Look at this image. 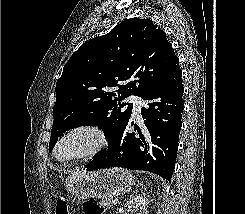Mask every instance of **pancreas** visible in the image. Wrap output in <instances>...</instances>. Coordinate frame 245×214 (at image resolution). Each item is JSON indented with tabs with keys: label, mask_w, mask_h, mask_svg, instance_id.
<instances>
[{
	"label": "pancreas",
	"mask_w": 245,
	"mask_h": 214,
	"mask_svg": "<svg viewBox=\"0 0 245 214\" xmlns=\"http://www.w3.org/2000/svg\"><path fill=\"white\" fill-rule=\"evenodd\" d=\"M113 201L111 199H108V198H102L101 201H100V204L103 205V206H106V207H112Z\"/></svg>",
	"instance_id": "1"
}]
</instances>
